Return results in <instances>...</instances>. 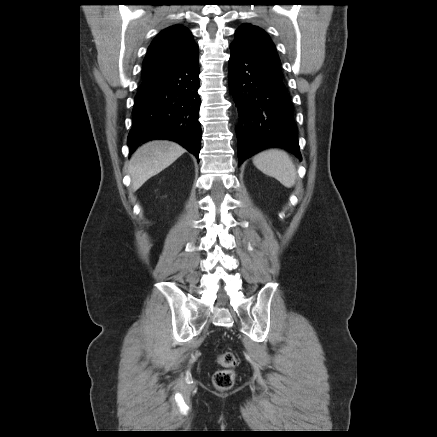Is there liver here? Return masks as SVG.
Listing matches in <instances>:
<instances>
[{
    "instance_id": "obj_1",
    "label": "liver",
    "mask_w": 437,
    "mask_h": 437,
    "mask_svg": "<svg viewBox=\"0 0 437 437\" xmlns=\"http://www.w3.org/2000/svg\"><path fill=\"white\" fill-rule=\"evenodd\" d=\"M185 149L168 140H153L140 146L131 156L128 173L133 190L175 162Z\"/></svg>"
}]
</instances>
